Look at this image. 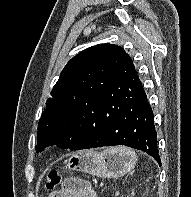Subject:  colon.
<instances>
[{
    "instance_id": "1",
    "label": "colon",
    "mask_w": 191,
    "mask_h": 197,
    "mask_svg": "<svg viewBox=\"0 0 191 197\" xmlns=\"http://www.w3.org/2000/svg\"><path fill=\"white\" fill-rule=\"evenodd\" d=\"M61 181V175L59 172L57 171H52L49 173L46 181H45V189L49 190V191H53L57 185L60 183Z\"/></svg>"
}]
</instances>
